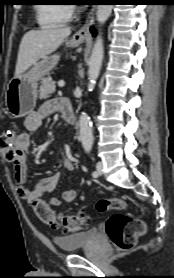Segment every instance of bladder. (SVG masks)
Wrapping results in <instances>:
<instances>
[{
	"label": "bladder",
	"instance_id": "obj_1",
	"mask_svg": "<svg viewBox=\"0 0 174 278\" xmlns=\"http://www.w3.org/2000/svg\"><path fill=\"white\" fill-rule=\"evenodd\" d=\"M98 230L90 228L69 235L54 237V243L65 252H74L85 248L98 239Z\"/></svg>",
	"mask_w": 174,
	"mask_h": 278
}]
</instances>
